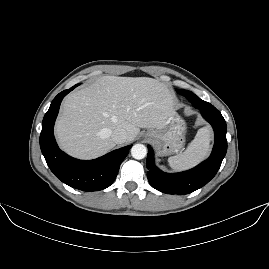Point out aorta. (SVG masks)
<instances>
[{"instance_id": "762f6f07", "label": "aorta", "mask_w": 269, "mask_h": 269, "mask_svg": "<svg viewBox=\"0 0 269 269\" xmlns=\"http://www.w3.org/2000/svg\"><path fill=\"white\" fill-rule=\"evenodd\" d=\"M147 154V149L143 144H135L131 148V155L135 159H143Z\"/></svg>"}]
</instances>
